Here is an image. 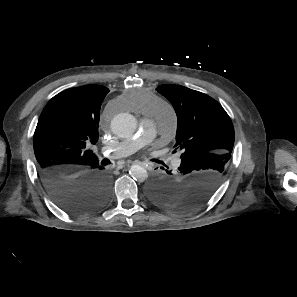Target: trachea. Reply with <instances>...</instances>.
<instances>
[{
  "instance_id": "1",
  "label": "trachea",
  "mask_w": 297,
  "mask_h": 297,
  "mask_svg": "<svg viewBox=\"0 0 297 297\" xmlns=\"http://www.w3.org/2000/svg\"><path fill=\"white\" fill-rule=\"evenodd\" d=\"M109 163H110V161L106 158L101 161L102 165H108Z\"/></svg>"
}]
</instances>
